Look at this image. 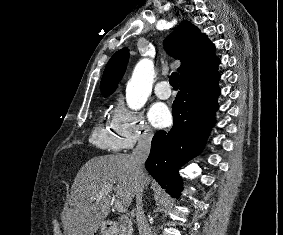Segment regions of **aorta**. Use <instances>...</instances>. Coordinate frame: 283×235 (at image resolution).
Returning <instances> with one entry per match:
<instances>
[{"label":"aorta","instance_id":"aorta-1","mask_svg":"<svg viewBox=\"0 0 283 235\" xmlns=\"http://www.w3.org/2000/svg\"><path fill=\"white\" fill-rule=\"evenodd\" d=\"M154 64L149 59L140 60L126 87V101L130 109L138 110L144 106L152 90Z\"/></svg>","mask_w":283,"mask_h":235}]
</instances>
